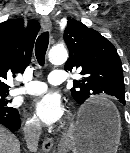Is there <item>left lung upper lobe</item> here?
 Instances as JSON below:
<instances>
[{
	"mask_svg": "<svg viewBox=\"0 0 130 153\" xmlns=\"http://www.w3.org/2000/svg\"><path fill=\"white\" fill-rule=\"evenodd\" d=\"M64 40L70 51L65 70L78 69L82 75L81 80L73 81L75 101L84 103L97 94L125 100L121 60L110 41L73 18H68Z\"/></svg>",
	"mask_w": 130,
	"mask_h": 153,
	"instance_id": "obj_1",
	"label": "left lung upper lobe"
}]
</instances>
